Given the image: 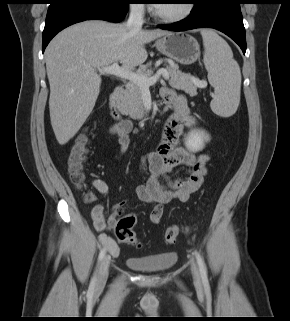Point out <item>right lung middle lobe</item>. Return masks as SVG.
Wrapping results in <instances>:
<instances>
[{"label":"right lung middle lobe","mask_w":290,"mask_h":321,"mask_svg":"<svg viewBox=\"0 0 290 321\" xmlns=\"http://www.w3.org/2000/svg\"><path fill=\"white\" fill-rule=\"evenodd\" d=\"M60 0H52V2H57ZM71 1H82V2H92V3H119V2H130L131 0H71Z\"/></svg>","instance_id":"dd1d6c3e"}]
</instances>
